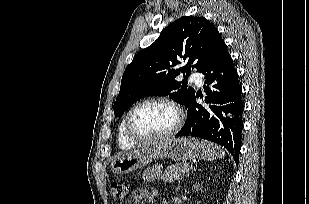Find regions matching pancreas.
Here are the masks:
<instances>
[{
    "label": "pancreas",
    "instance_id": "pancreas-1",
    "mask_svg": "<svg viewBox=\"0 0 309 204\" xmlns=\"http://www.w3.org/2000/svg\"><path fill=\"white\" fill-rule=\"evenodd\" d=\"M189 171V164L187 163H179L173 166L168 167L161 179L164 182H173L175 180L180 179V177L184 176L186 172Z\"/></svg>",
    "mask_w": 309,
    "mask_h": 204
}]
</instances>
